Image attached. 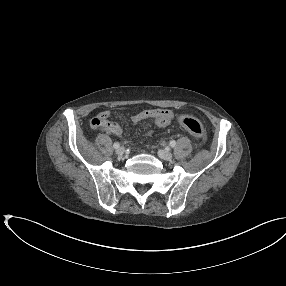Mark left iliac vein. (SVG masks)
Listing matches in <instances>:
<instances>
[{
    "instance_id": "left-iliac-vein-1",
    "label": "left iliac vein",
    "mask_w": 286,
    "mask_h": 286,
    "mask_svg": "<svg viewBox=\"0 0 286 286\" xmlns=\"http://www.w3.org/2000/svg\"><path fill=\"white\" fill-rule=\"evenodd\" d=\"M158 156L163 159V160H171L173 158V154L169 151H165V150H159L158 151Z\"/></svg>"
}]
</instances>
